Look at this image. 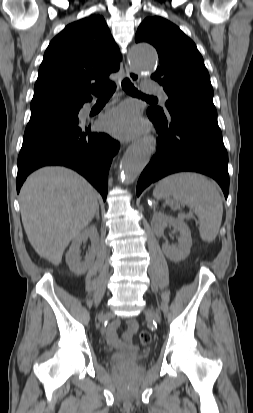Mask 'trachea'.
<instances>
[{"instance_id":"3493384b","label":"trachea","mask_w":253,"mask_h":413,"mask_svg":"<svg viewBox=\"0 0 253 413\" xmlns=\"http://www.w3.org/2000/svg\"><path fill=\"white\" fill-rule=\"evenodd\" d=\"M122 88L124 89L126 93L130 95L154 98L152 96H146L142 94L141 92H139L128 78L122 81ZM115 90H116V84L114 82H109L101 90H92V93L95 96H97L99 99H108L113 95Z\"/></svg>"}]
</instances>
